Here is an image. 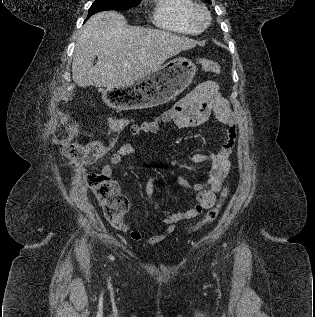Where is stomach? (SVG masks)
Here are the masks:
<instances>
[{
    "mask_svg": "<svg viewBox=\"0 0 315 317\" xmlns=\"http://www.w3.org/2000/svg\"><path fill=\"white\" fill-rule=\"evenodd\" d=\"M197 68L186 57L170 60L158 70L129 84L105 88L118 108H151L174 99L193 81Z\"/></svg>",
    "mask_w": 315,
    "mask_h": 317,
    "instance_id": "obj_1",
    "label": "stomach"
}]
</instances>
